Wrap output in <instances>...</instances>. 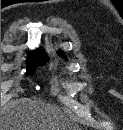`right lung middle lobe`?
Returning <instances> with one entry per match:
<instances>
[{"mask_svg":"<svg viewBox=\"0 0 123 130\" xmlns=\"http://www.w3.org/2000/svg\"><path fill=\"white\" fill-rule=\"evenodd\" d=\"M47 61L46 56H31L28 59V71L27 73L32 74L34 69L39 65H44Z\"/></svg>","mask_w":123,"mask_h":130,"instance_id":"dd1d6c3e","label":"right lung middle lobe"}]
</instances>
